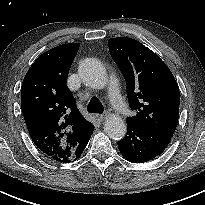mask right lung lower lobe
I'll use <instances>...</instances> for the list:
<instances>
[{
  "label": "right lung lower lobe",
  "mask_w": 205,
  "mask_h": 205,
  "mask_svg": "<svg viewBox=\"0 0 205 205\" xmlns=\"http://www.w3.org/2000/svg\"><path fill=\"white\" fill-rule=\"evenodd\" d=\"M92 133H93V131L83 141H81L79 143V145L75 148L74 154H73V157H74L73 160L74 161L77 160L81 156V154L84 151V149H85V147H86Z\"/></svg>",
  "instance_id": "obj_1"
}]
</instances>
